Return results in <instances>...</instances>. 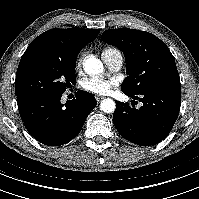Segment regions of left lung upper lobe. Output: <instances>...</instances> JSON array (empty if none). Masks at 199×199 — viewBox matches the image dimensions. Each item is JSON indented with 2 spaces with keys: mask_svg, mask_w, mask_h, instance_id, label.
<instances>
[{
  "mask_svg": "<svg viewBox=\"0 0 199 199\" xmlns=\"http://www.w3.org/2000/svg\"><path fill=\"white\" fill-rule=\"evenodd\" d=\"M101 40L120 48L128 77L122 91L138 95L156 88H181L175 60L169 48L155 35L119 28L103 32Z\"/></svg>",
  "mask_w": 199,
  "mask_h": 199,
  "instance_id": "obj_1",
  "label": "left lung upper lobe"
}]
</instances>
